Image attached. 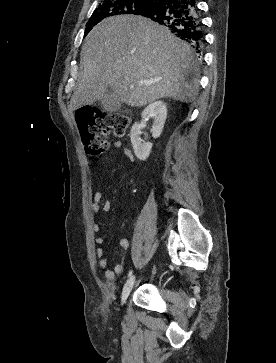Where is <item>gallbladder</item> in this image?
Wrapping results in <instances>:
<instances>
[{
    "label": "gallbladder",
    "instance_id": "gallbladder-1",
    "mask_svg": "<svg viewBox=\"0 0 276 363\" xmlns=\"http://www.w3.org/2000/svg\"><path fill=\"white\" fill-rule=\"evenodd\" d=\"M103 109L108 112H116L121 109V102L113 94L112 90L109 89L105 96L99 100Z\"/></svg>",
    "mask_w": 276,
    "mask_h": 363
}]
</instances>
